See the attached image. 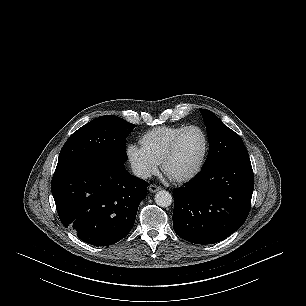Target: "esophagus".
<instances>
[{
    "instance_id": "34e87169",
    "label": "esophagus",
    "mask_w": 306,
    "mask_h": 306,
    "mask_svg": "<svg viewBox=\"0 0 306 306\" xmlns=\"http://www.w3.org/2000/svg\"><path fill=\"white\" fill-rule=\"evenodd\" d=\"M161 189V187L160 186H157V185H150L149 186V191L151 192V193H154V192H157V191H159Z\"/></svg>"
}]
</instances>
